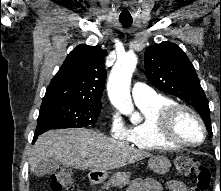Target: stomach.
<instances>
[{
	"label": "stomach",
	"mask_w": 221,
	"mask_h": 191,
	"mask_svg": "<svg viewBox=\"0 0 221 191\" xmlns=\"http://www.w3.org/2000/svg\"><path fill=\"white\" fill-rule=\"evenodd\" d=\"M148 167L157 174H165L171 167L170 160L164 156H152L148 160ZM98 182H103L107 178V172H92Z\"/></svg>",
	"instance_id": "stomach-1"
}]
</instances>
